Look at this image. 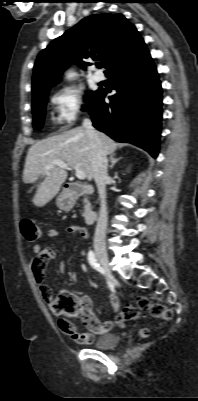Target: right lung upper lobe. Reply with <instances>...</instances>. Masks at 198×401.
<instances>
[{"label": "right lung upper lobe", "mask_w": 198, "mask_h": 401, "mask_svg": "<svg viewBox=\"0 0 198 401\" xmlns=\"http://www.w3.org/2000/svg\"><path fill=\"white\" fill-rule=\"evenodd\" d=\"M144 41L122 14H96L81 20L42 50L35 62L32 96L58 83L71 62L85 68V60H100L108 73Z\"/></svg>", "instance_id": "right-lung-upper-lobe-1"}]
</instances>
